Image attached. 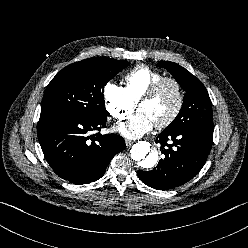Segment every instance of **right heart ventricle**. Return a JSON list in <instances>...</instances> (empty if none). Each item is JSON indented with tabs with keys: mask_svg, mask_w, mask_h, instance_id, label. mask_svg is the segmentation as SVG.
<instances>
[{
	"mask_svg": "<svg viewBox=\"0 0 248 248\" xmlns=\"http://www.w3.org/2000/svg\"><path fill=\"white\" fill-rule=\"evenodd\" d=\"M163 74L148 66H138L128 72L124 78V90L133 103H137L146 90Z\"/></svg>",
	"mask_w": 248,
	"mask_h": 248,
	"instance_id": "right-heart-ventricle-1",
	"label": "right heart ventricle"
}]
</instances>
